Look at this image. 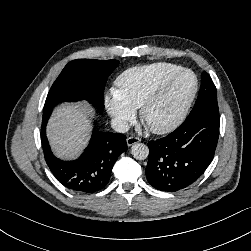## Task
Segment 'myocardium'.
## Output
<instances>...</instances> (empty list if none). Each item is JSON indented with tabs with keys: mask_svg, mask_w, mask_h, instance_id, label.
<instances>
[{
	"mask_svg": "<svg viewBox=\"0 0 251 251\" xmlns=\"http://www.w3.org/2000/svg\"><path fill=\"white\" fill-rule=\"evenodd\" d=\"M183 74H189L193 77V87L179 112L172 120H170L168 123L164 125L160 126L148 125L146 123V115L149 109L163 97V95L166 93L169 87ZM198 86H199L198 78L196 74L190 69L182 68L179 71L166 77L150 92V94L146 97V99L140 106L139 115L141 121L144 123V125L147 127L148 130H150L155 134H167L175 130L185 120L186 116L188 115L192 103L198 92Z\"/></svg>",
	"mask_w": 251,
	"mask_h": 251,
	"instance_id": "f54148a6",
	"label": "myocardium"
}]
</instances>
